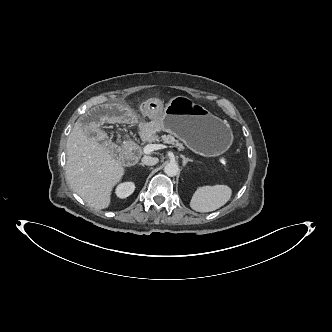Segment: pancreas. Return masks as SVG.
Wrapping results in <instances>:
<instances>
[{
	"mask_svg": "<svg viewBox=\"0 0 332 332\" xmlns=\"http://www.w3.org/2000/svg\"><path fill=\"white\" fill-rule=\"evenodd\" d=\"M149 143L152 142H160L163 141L164 143L171 144L181 150L184 148L183 144L176 140L172 135H162V136H152L148 139Z\"/></svg>",
	"mask_w": 332,
	"mask_h": 332,
	"instance_id": "cf45deb5",
	"label": "pancreas"
}]
</instances>
